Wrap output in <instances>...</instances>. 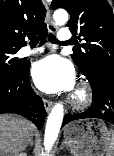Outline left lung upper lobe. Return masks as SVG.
<instances>
[{"label":"left lung upper lobe","mask_w":114,"mask_h":156,"mask_svg":"<svg viewBox=\"0 0 114 156\" xmlns=\"http://www.w3.org/2000/svg\"><path fill=\"white\" fill-rule=\"evenodd\" d=\"M52 9L70 13L68 26L77 44L71 57L88 79L114 75V15L106 0H53Z\"/></svg>","instance_id":"obj_1"}]
</instances>
